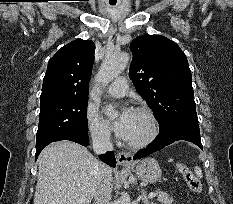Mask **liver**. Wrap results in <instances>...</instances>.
I'll return each instance as SVG.
<instances>
[{"mask_svg":"<svg viewBox=\"0 0 233 204\" xmlns=\"http://www.w3.org/2000/svg\"><path fill=\"white\" fill-rule=\"evenodd\" d=\"M38 166L34 204H90L108 168L87 148L71 141L45 147Z\"/></svg>","mask_w":233,"mask_h":204,"instance_id":"obj_1","label":"liver"}]
</instances>
